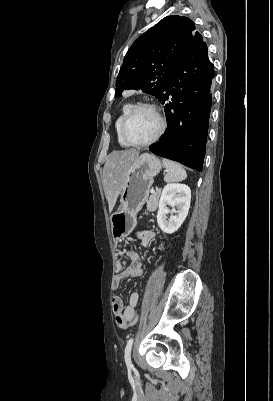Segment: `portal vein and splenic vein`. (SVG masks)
Returning a JSON list of instances; mask_svg holds the SVG:
<instances>
[{
  "mask_svg": "<svg viewBox=\"0 0 273 401\" xmlns=\"http://www.w3.org/2000/svg\"><path fill=\"white\" fill-rule=\"evenodd\" d=\"M151 192H155L154 188H151Z\"/></svg>",
  "mask_w": 273,
  "mask_h": 401,
  "instance_id": "portal-vein-and-splenic-vein-1",
  "label": "portal vein and splenic vein"
}]
</instances>
